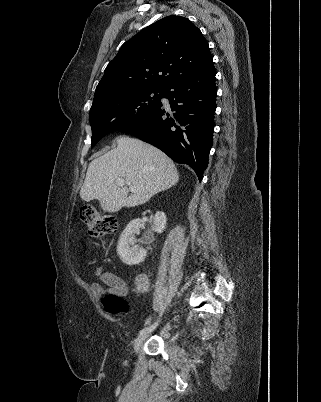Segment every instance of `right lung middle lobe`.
<instances>
[{
	"label": "right lung middle lobe",
	"mask_w": 321,
	"mask_h": 402,
	"mask_svg": "<svg viewBox=\"0 0 321 402\" xmlns=\"http://www.w3.org/2000/svg\"><path fill=\"white\" fill-rule=\"evenodd\" d=\"M164 89H145L125 93L105 99L92 105L90 125L92 144L109 132L138 121L161 106Z\"/></svg>",
	"instance_id": "1"
}]
</instances>
